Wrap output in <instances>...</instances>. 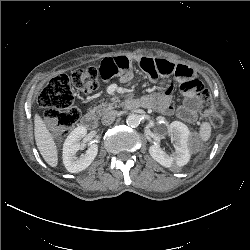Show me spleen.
Segmentation results:
<instances>
[{
  "instance_id": "3e777b00",
  "label": "spleen",
  "mask_w": 250,
  "mask_h": 250,
  "mask_svg": "<svg viewBox=\"0 0 250 250\" xmlns=\"http://www.w3.org/2000/svg\"><path fill=\"white\" fill-rule=\"evenodd\" d=\"M199 136L203 142H206L209 140L211 136V125L208 122H203L200 130H199Z\"/></svg>"
}]
</instances>
